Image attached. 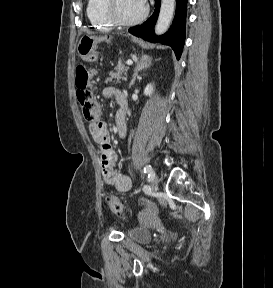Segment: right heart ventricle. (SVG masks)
Wrapping results in <instances>:
<instances>
[{"label": "right heart ventricle", "instance_id": "e07e8e85", "mask_svg": "<svg viewBox=\"0 0 273 288\" xmlns=\"http://www.w3.org/2000/svg\"><path fill=\"white\" fill-rule=\"evenodd\" d=\"M87 16L93 27L100 30H109L113 27L103 14V0L87 1Z\"/></svg>", "mask_w": 273, "mask_h": 288}]
</instances>
